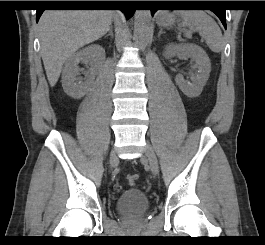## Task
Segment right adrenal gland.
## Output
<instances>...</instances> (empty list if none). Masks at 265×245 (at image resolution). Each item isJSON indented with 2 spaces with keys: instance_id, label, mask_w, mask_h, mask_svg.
Returning <instances> with one entry per match:
<instances>
[{
  "instance_id": "1",
  "label": "right adrenal gland",
  "mask_w": 265,
  "mask_h": 245,
  "mask_svg": "<svg viewBox=\"0 0 265 245\" xmlns=\"http://www.w3.org/2000/svg\"><path fill=\"white\" fill-rule=\"evenodd\" d=\"M108 36L113 38V28L112 27L109 28L108 34L105 35V38L108 37Z\"/></svg>"
}]
</instances>
